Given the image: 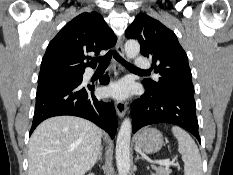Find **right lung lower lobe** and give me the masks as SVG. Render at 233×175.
<instances>
[{"label":"right lung lower lobe","instance_id":"right-lung-lower-lobe-1","mask_svg":"<svg viewBox=\"0 0 233 175\" xmlns=\"http://www.w3.org/2000/svg\"><path fill=\"white\" fill-rule=\"evenodd\" d=\"M77 83L59 84L37 90L36 106L30 135L43 120L59 115H72L88 119L104 129L111 138L115 137L117 119L113 103L103 102L94 96V85ZM109 83L108 75L100 84Z\"/></svg>","mask_w":233,"mask_h":175}]
</instances>
